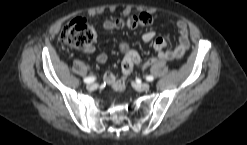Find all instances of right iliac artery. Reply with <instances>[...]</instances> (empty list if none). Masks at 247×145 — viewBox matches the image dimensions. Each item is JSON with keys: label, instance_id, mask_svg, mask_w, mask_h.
Segmentation results:
<instances>
[{"label": "right iliac artery", "instance_id": "82829eb1", "mask_svg": "<svg viewBox=\"0 0 247 145\" xmlns=\"http://www.w3.org/2000/svg\"><path fill=\"white\" fill-rule=\"evenodd\" d=\"M95 80V77L94 76H91V77H87L84 79V82L89 84V83H92L93 81Z\"/></svg>", "mask_w": 247, "mask_h": 145}]
</instances>
